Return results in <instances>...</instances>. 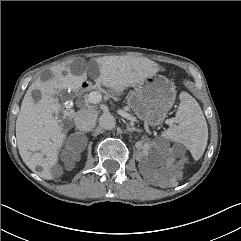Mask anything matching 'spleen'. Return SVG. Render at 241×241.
Wrapping results in <instances>:
<instances>
[{"label":"spleen","instance_id":"obj_1","mask_svg":"<svg viewBox=\"0 0 241 241\" xmlns=\"http://www.w3.org/2000/svg\"><path fill=\"white\" fill-rule=\"evenodd\" d=\"M179 97L180 104L175 116L178 125L165 130L161 137L184 144L193 158L198 160L207 146V123L199 104L191 95L181 92Z\"/></svg>","mask_w":241,"mask_h":241}]
</instances>
